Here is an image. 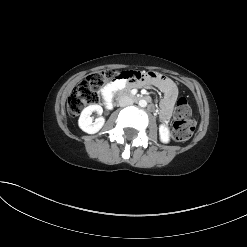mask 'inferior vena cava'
Masks as SVG:
<instances>
[{
  "label": "inferior vena cava",
  "instance_id": "1",
  "mask_svg": "<svg viewBox=\"0 0 247 247\" xmlns=\"http://www.w3.org/2000/svg\"><path fill=\"white\" fill-rule=\"evenodd\" d=\"M118 101L121 107H125L133 104V99L127 94L121 95Z\"/></svg>",
  "mask_w": 247,
  "mask_h": 247
}]
</instances>
